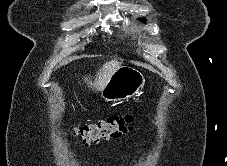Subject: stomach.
Listing matches in <instances>:
<instances>
[{
	"label": "stomach",
	"instance_id": "0dacf381",
	"mask_svg": "<svg viewBox=\"0 0 227 166\" xmlns=\"http://www.w3.org/2000/svg\"><path fill=\"white\" fill-rule=\"evenodd\" d=\"M143 74L132 66H120L101 91L105 101H123L135 97L143 88Z\"/></svg>",
	"mask_w": 227,
	"mask_h": 166
}]
</instances>
